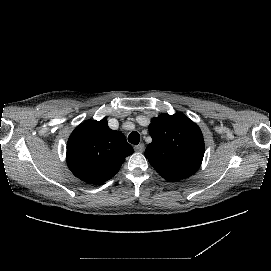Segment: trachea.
Here are the masks:
<instances>
[{"label":"trachea","mask_w":271,"mask_h":271,"mask_svg":"<svg viewBox=\"0 0 271 271\" xmlns=\"http://www.w3.org/2000/svg\"><path fill=\"white\" fill-rule=\"evenodd\" d=\"M128 141L134 145H137L140 141V135L134 131L128 136Z\"/></svg>","instance_id":"obj_1"}]
</instances>
